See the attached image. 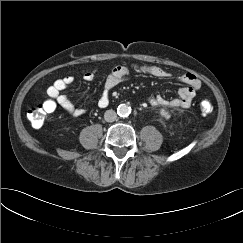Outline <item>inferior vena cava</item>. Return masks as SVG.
Returning <instances> with one entry per match:
<instances>
[{"label":"inferior vena cava","mask_w":243,"mask_h":243,"mask_svg":"<svg viewBox=\"0 0 243 243\" xmlns=\"http://www.w3.org/2000/svg\"><path fill=\"white\" fill-rule=\"evenodd\" d=\"M117 118V114L114 110L110 109V110H107L105 113H104V119L105 121L107 122H113L115 121Z\"/></svg>","instance_id":"1"}]
</instances>
